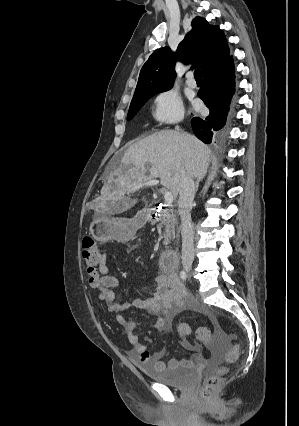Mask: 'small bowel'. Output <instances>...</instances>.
<instances>
[{
	"label": "small bowel",
	"instance_id": "small-bowel-1",
	"mask_svg": "<svg viewBox=\"0 0 299 426\" xmlns=\"http://www.w3.org/2000/svg\"><path fill=\"white\" fill-rule=\"evenodd\" d=\"M96 276L103 292L102 301L110 312L120 314L130 308H136L157 313L159 318L150 327L164 329L166 336L169 335L167 320L182 311L192 310L213 320L212 314L205 307L195 302L187 293L185 286L179 279L176 268L174 270L162 269L161 274L155 279V294L153 297L142 298L135 296L131 302L116 300L113 289L119 286V280L109 273L105 253H102L101 261L96 269ZM117 320L126 330L128 340L132 345V349L128 353L132 361L150 362L157 368H192L202 364L205 360L204 352L198 345L185 341L184 347L194 352L192 357L188 360L170 359L165 363L162 360L166 353L165 345L151 352L148 348L147 340H142L137 335V330L141 327L138 321L127 319L120 315Z\"/></svg>",
	"mask_w": 299,
	"mask_h": 426
}]
</instances>
